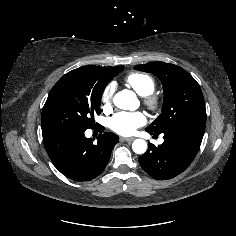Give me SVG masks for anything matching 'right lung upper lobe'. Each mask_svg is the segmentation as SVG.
<instances>
[{
  "label": "right lung upper lobe",
  "mask_w": 236,
  "mask_h": 236,
  "mask_svg": "<svg viewBox=\"0 0 236 236\" xmlns=\"http://www.w3.org/2000/svg\"><path fill=\"white\" fill-rule=\"evenodd\" d=\"M84 68H89V66H85Z\"/></svg>",
  "instance_id": "cb5924a9"
}]
</instances>
